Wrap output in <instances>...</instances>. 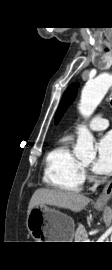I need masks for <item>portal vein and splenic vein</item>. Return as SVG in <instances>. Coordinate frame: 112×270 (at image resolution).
I'll return each instance as SVG.
<instances>
[{"mask_svg": "<svg viewBox=\"0 0 112 270\" xmlns=\"http://www.w3.org/2000/svg\"><path fill=\"white\" fill-rule=\"evenodd\" d=\"M85 242H90V240L89 239H86Z\"/></svg>", "mask_w": 112, "mask_h": 270, "instance_id": "18ae733b", "label": "portal vein and splenic vein"}]
</instances>
